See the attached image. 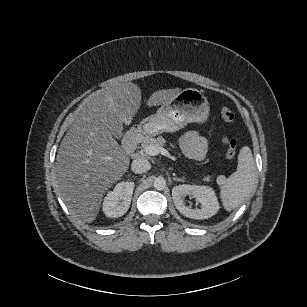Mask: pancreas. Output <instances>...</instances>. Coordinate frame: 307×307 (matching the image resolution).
<instances>
[{"label": "pancreas", "mask_w": 307, "mask_h": 307, "mask_svg": "<svg viewBox=\"0 0 307 307\" xmlns=\"http://www.w3.org/2000/svg\"><path fill=\"white\" fill-rule=\"evenodd\" d=\"M166 143V140L162 137V136H159L157 138H150V137H146L141 146L144 150L145 147L149 146V145H156V146H159V147H162L164 146ZM203 181H206V182H209L211 181V176H206L203 178Z\"/></svg>", "instance_id": "1"}]
</instances>
